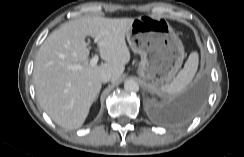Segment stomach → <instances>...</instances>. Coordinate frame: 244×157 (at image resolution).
<instances>
[{"mask_svg": "<svg viewBox=\"0 0 244 157\" xmlns=\"http://www.w3.org/2000/svg\"><path fill=\"white\" fill-rule=\"evenodd\" d=\"M126 37L132 51L141 56L138 74L151 87H162L174 79L185 51L166 19L155 15L134 18Z\"/></svg>", "mask_w": 244, "mask_h": 157, "instance_id": "obj_1", "label": "stomach"}]
</instances>
